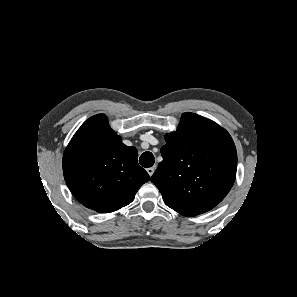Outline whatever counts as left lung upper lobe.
Listing matches in <instances>:
<instances>
[{
	"label": "left lung upper lobe",
	"mask_w": 297,
	"mask_h": 297,
	"mask_svg": "<svg viewBox=\"0 0 297 297\" xmlns=\"http://www.w3.org/2000/svg\"><path fill=\"white\" fill-rule=\"evenodd\" d=\"M165 139L163 161L151 177L165 204L185 216L214 208L236 177L237 152L229 133L207 118L184 113L177 131Z\"/></svg>",
	"instance_id": "left-lung-upper-lobe-1"
}]
</instances>
